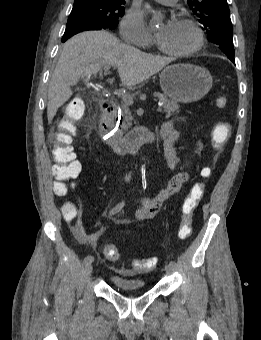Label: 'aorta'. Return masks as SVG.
Listing matches in <instances>:
<instances>
[{
	"label": "aorta",
	"instance_id": "762f6f07",
	"mask_svg": "<svg viewBox=\"0 0 261 340\" xmlns=\"http://www.w3.org/2000/svg\"><path fill=\"white\" fill-rule=\"evenodd\" d=\"M146 9H148L149 11H151L152 14H153V16H152V18H151V20H150V24L155 25V24L159 21L158 16L156 15L155 11H153V10L150 8L149 5H146Z\"/></svg>",
	"mask_w": 261,
	"mask_h": 340
}]
</instances>
